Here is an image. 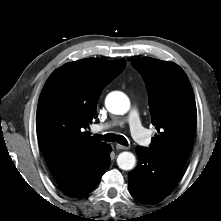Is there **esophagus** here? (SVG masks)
Listing matches in <instances>:
<instances>
[{
    "label": "esophagus",
    "instance_id": "34e87169",
    "mask_svg": "<svg viewBox=\"0 0 221 221\" xmlns=\"http://www.w3.org/2000/svg\"><path fill=\"white\" fill-rule=\"evenodd\" d=\"M116 149H117V150H128L129 147L123 146V145H121V144H116Z\"/></svg>",
    "mask_w": 221,
    "mask_h": 221
}]
</instances>
